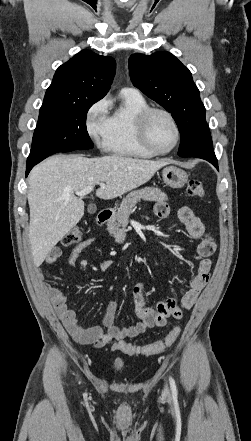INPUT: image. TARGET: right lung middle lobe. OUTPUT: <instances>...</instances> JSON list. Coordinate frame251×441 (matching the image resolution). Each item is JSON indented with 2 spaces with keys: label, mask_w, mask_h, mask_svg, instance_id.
<instances>
[{
  "label": "right lung middle lobe",
  "mask_w": 251,
  "mask_h": 441,
  "mask_svg": "<svg viewBox=\"0 0 251 441\" xmlns=\"http://www.w3.org/2000/svg\"><path fill=\"white\" fill-rule=\"evenodd\" d=\"M100 99L91 97L70 103H43L32 150L58 153L93 148L86 129V114Z\"/></svg>",
  "instance_id": "right-lung-middle-lobe-1"
}]
</instances>
